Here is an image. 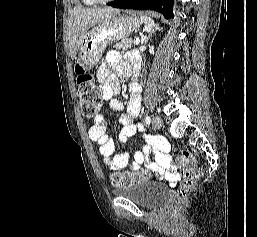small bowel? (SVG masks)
<instances>
[{
  "label": "small bowel",
  "instance_id": "obj_1",
  "mask_svg": "<svg viewBox=\"0 0 257 237\" xmlns=\"http://www.w3.org/2000/svg\"><path fill=\"white\" fill-rule=\"evenodd\" d=\"M111 68H115L120 75H130L133 68L129 61L121 60L118 52L110 51L106 54L105 61L98 71L103 96L108 100V109L113 112H120L124 106L120 100L112 98V95L119 90V84L110 71ZM130 90L132 96L127 105V111L120 117L122 129L119 134V141L122 144L129 137L143 130L142 126L134 120L140 109V85L132 83ZM88 135L92 141L99 145V154L102 160L113 171L125 169L137 171L144 163H147L153 172L169 181H177L179 178L168 154L169 143L164 137L147 136V145L136 151L133 159H130L129 153L124 147L118 154L113 155L114 142L107 134V122L102 114L96 117L95 123L89 128Z\"/></svg>",
  "mask_w": 257,
  "mask_h": 237
}]
</instances>
